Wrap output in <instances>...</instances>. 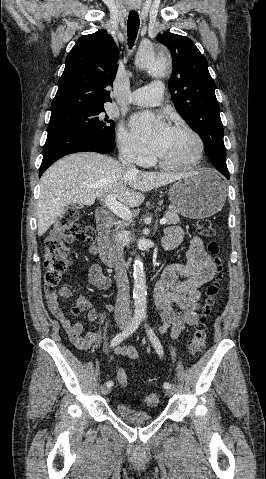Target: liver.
Wrapping results in <instances>:
<instances>
[{
  "label": "liver",
  "mask_w": 266,
  "mask_h": 479,
  "mask_svg": "<svg viewBox=\"0 0 266 479\" xmlns=\"http://www.w3.org/2000/svg\"><path fill=\"white\" fill-rule=\"evenodd\" d=\"M188 174L133 173L111 157L94 152L66 156L54 163L41 177L37 203L38 236L64 214L68 204L92 205L97 197L115 194L129 207L144 201V192L165 186Z\"/></svg>",
  "instance_id": "6515ba94"
}]
</instances>
